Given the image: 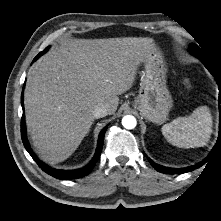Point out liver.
<instances>
[{
	"mask_svg": "<svg viewBox=\"0 0 221 221\" xmlns=\"http://www.w3.org/2000/svg\"><path fill=\"white\" fill-rule=\"evenodd\" d=\"M154 48L152 38L70 39L33 64L24 103L40 158L50 164L69 158L89 132L95 107L114 114L118 95L132 87Z\"/></svg>",
	"mask_w": 221,
	"mask_h": 221,
	"instance_id": "1",
	"label": "liver"
}]
</instances>
